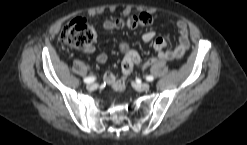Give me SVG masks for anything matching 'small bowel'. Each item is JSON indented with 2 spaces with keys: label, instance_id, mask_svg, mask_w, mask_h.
Here are the masks:
<instances>
[{
  "label": "small bowel",
  "instance_id": "small-bowel-1",
  "mask_svg": "<svg viewBox=\"0 0 247 145\" xmlns=\"http://www.w3.org/2000/svg\"><path fill=\"white\" fill-rule=\"evenodd\" d=\"M103 27L105 30L111 31L114 29V22L110 19H106L103 21ZM176 28L178 31V44L172 50H167V42L164 38L156 35L154 31H148L143 34L142 40L145 43H153V47L157 52L156 58H151L143 63V68H147L154 63L163 62V61H171L181 59L187 50L190 47L189 41V32L187 24L180 20L176 23ZM120 51L124 55L123 64L132 56L136 58V60L130 65L128 69V74H125L123 71V76L120 79L116 78V75L112 71H108L104 75V81L111 86L116 91H122L126 88V80L128 75L131 73L133 67L135 65L140 64V57L138 54L129 46L126 42H121L119 44ZM95 50V46L91 45L86 49H83L84 53H92ZM108 60V55L106 53L98 54L96 61L98 64H105Z\"/></svg>",
  "mask_w": 247,
  "mask_h": 145
}]
</instances>
